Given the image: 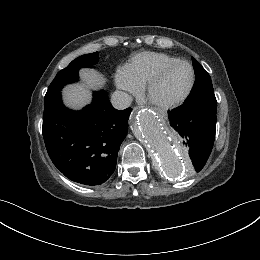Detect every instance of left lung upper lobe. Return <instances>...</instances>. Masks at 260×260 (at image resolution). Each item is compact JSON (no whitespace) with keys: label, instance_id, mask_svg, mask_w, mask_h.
I'll list each match as a JSON object with an SVG mask.
<instances>
[{"label":"left lung upper lobe","instance_id":"5c2ea615","mask_svg":"<svg viewBox=\"0 0 260 260\" xmlns=\"http://www.w3.org/2000/svg\"><path fill=\"white\" fill-rule=\"evenodd\" d=\"M192 63L196 73V80L194 88L184 105L197 104L202 100L216 101L209 74L195 58H192Z\"/></svg>","mask_w":260,"mask_h":260}]
</instances>
